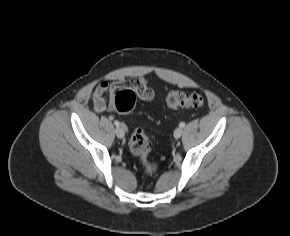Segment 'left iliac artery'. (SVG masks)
Masks as SVG:
<instances>
[{
  "label": "left iliac artery",
  "instance_id": "left-iliac-artery-1",
  "mask_svg": "<svg viewBox=\"0 0 290 236\" xmlns=\"http://www.w3.org/2000/svg\"><path fill=\"white\" fill-rule=\"evenodd\" d=\"M179 126H180L181 128H183V127L185 126V123H184V122H181V123L179 124Z\"/></svg>",
  "mask_w": 290,
  "mask_h": 236
}]
</instances>
